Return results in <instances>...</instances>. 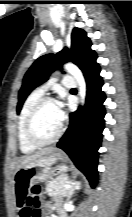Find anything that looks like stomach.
<instances>
[{"instance_id":"obj_1","label":"stomach","mask_w":132,"mask_h":217,"mask_svg":"<svg viewBox=\"0 0 132 217\" xmlns=\"http://www.w3.org/2000/svg\"><path fill=\"white\" fill-rule=\"evenodd\" d=\"M69 171V159L62 151L43 156L16 170L13 183L16 188L30 187L35 181L53 178Z\"/></svg>"}]
</instances>
